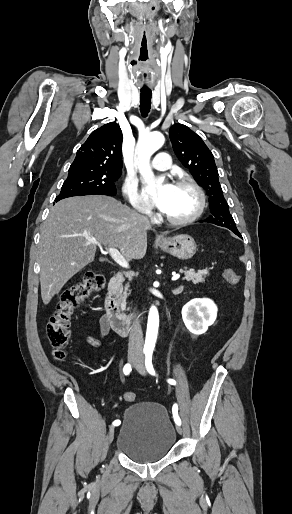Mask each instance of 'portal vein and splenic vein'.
Here are the masks:
<instances>
[{
	"label": "portal vein and splenic vein",
	"mask_w": 292,
	"mask_h": 514,
	"mask_svg": "<svg viewBox=\"0 0 292 514\" xmlns=\"http://www.w3.org/2000/svg\"><path fill=\"white\" fill-rule=\"evenodd\" d=\"M99 248H102V246H99ZM105 250H108L111 258H113V260H115V262H117V264H119V266H122V268H129L128 262H126L125 258H123V256H121L120 252H118V250H116V248H105ZM179 278H180L179 274H175V276H173L172 280H179Z\"/></svg>",
	"instance_id": "18ae733b"
}]
</instances>
